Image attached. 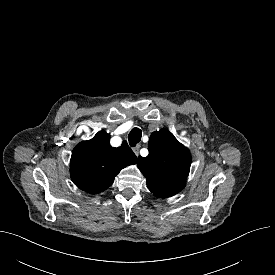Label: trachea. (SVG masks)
Listing matches in <instances>:
<instances>
[{
    "instance_id": "obj_1",
    "label": "trachea",
    "mask_w": 275,
    "mask_h": 275,
    "mask_svg": "<svg viewBox=\"0 0 275 275\" xmlns=\"http://www.w3.org/2000/svg\"><path fill=\"white\" fill-rule=\"evenodd\" d=\"M142 137V131L139 128H133L128 135L129 144L131 147H135L140 142Z\"/></svg>"
}]
</instances>
